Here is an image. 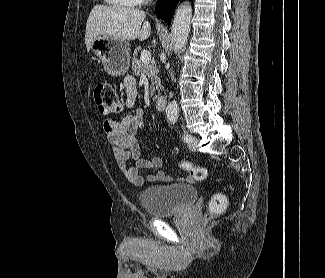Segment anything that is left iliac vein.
Returning <instances> with one entry per match:
<instances>
[{
  "instance_id": "left-iliac-vein-1",
  "label": "left iliac vein",
  "mask_w": 325,
  "mask_h": 278,
  "mask_svg": "<svg viewBox=\"0 0 325 278\" xmlns=\"http://www.w3.org/2000/svg\"><path fill=\"white\" fill-rule=\"evenodd\" d=\"M188 147L191 151L197 150V138L193 137L192 142H189Z\"/></svg>"
}]
</instances>
